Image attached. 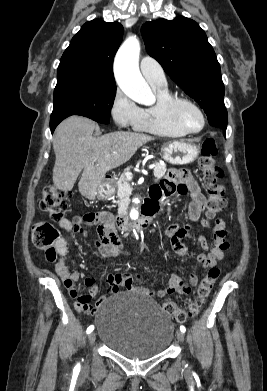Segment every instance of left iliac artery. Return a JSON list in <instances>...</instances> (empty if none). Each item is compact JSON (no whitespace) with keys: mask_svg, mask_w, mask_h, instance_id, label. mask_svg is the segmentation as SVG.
Wrapping results in <instances>:
<instances>
[{"mask_svg":"<svg viewBox=\"0 0 267 391\" xmlns=\"http://www.w3.org/2000/svg\"><path fill=\"white\" fill-rule=\"evenodd\" d=\"M180 330H181L182 332H185V331H186V328H185L184 326H180Z\"/></svg>","mask_w":267,"mask_h":391,"instance_id":"left-iliac-artery-1","label":"left iliac artery"}]
</instances>
